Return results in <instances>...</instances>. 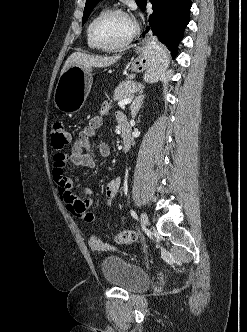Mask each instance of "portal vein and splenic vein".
<instances>
[{
  "label": "portal vein and splenic vein",
  "instance_id": "portal-vein-and-splenic-vein-1",
  "mask_svg": "<svg viewBox=\"0 0 247 332\" xmlns=\"http://www.w3.org/2000/svg\"><path fill=\"white\" fill-rule=\"evenodd\" d=\"M131 102H132V98H126V99L120 100V101L118 102V105H119L120 107H124L125 105H127V104H129V103H131Z\"/></svg>",
  "mask_w": 247,
  "mask_h": 332
}]
</instances>
